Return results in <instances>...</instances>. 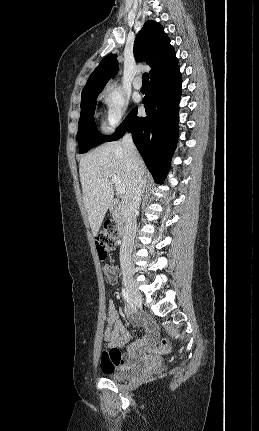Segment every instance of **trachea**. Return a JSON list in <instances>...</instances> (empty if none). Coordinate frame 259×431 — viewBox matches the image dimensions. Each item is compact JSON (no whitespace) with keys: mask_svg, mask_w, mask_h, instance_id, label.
I'll list each match as a JSON object with an SVG mask.
<instances>
[{"mask_svg":"<svg viewBox=\"0 0 259 431\" xmlns=\"http://www.w3.org/2000/svg\"><path fill=\"white\" fill-rule=\"evenodd\" d=\"M142 80H143V84H148L149 83V74L144 73L142 76Z\"/></svg>","mask_w":259,"mask_h":431,"instance_id":"trachea-1","label":"trachea"}]
</instances>
